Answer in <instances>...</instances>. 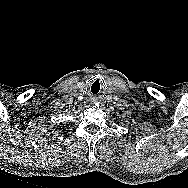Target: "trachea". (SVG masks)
Instances as JSON below:
<instances>
[{"label":"trachea","instance_id":"obj_1","mask_svg":"<svg viewBox=\"0 0 188 188\" xmlns=\"http://www.w3.org/2000/svg\"><path fill=\"white\" fill-rule=\"evenodd\" d=\"M103 83L100 80H95L89 89V92L93 96H99L102 93Z\"/></svg>","mask_w":188,"mask_h":188}]
</instances>
